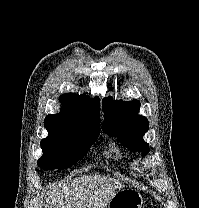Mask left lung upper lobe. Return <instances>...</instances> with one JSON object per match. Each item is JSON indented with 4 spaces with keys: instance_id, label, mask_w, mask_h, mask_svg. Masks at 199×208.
Returning a JSON list of instances; mask_svg holds the SVG:
<instances>
[{
    "instance_id": "1",
    "label": "left lung upper lobe",
    "mask_w": 199,
    "mask_h": 208,
    "mask_svg": "<svg viewBox=\"0 0 199 208\" xmlns=\"http://www.w3.org/2000/svg\"><path fill=\"white\" fill-rule=\"evenodd\" d=\"M104 111L103 131L117 137L131 151L149 152V144L143 140V135L149 129L146 117L138 115L140 102L138 100L123 102L113 101L112 97L103 99Z\"/></svg>"
}]
</instances>
